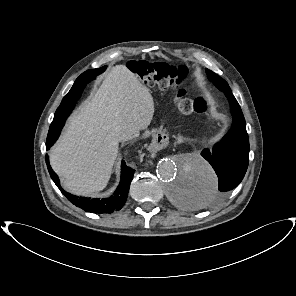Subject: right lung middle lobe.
<instances>
[{
	"label": "right lung middle lobe",
	"mask_w": 296,
	"mask_h": 296,
	"mask_svg": "<svg viewBox=\"0 0 296 296\" xmlns=\"http://www.w3.org/2000/svg\"><path fill=\"white\" fill-rule=\"evenodd\" d=\"M105 69H106V66L98 68V69H92L90 71V73H96L97 75H99ZM80 96L75 97V96H73V93L71 91H69V93L63 98V100H62L60 106L58 107V109L56 110V112H59L60 110L65 109V108H70V110L72 111L76 101L80 98Z\"/></svg>",
	"instance_id": "1"
}]
</instances>
